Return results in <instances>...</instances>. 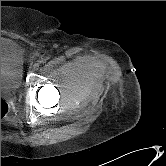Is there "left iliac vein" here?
Segmentation results:
<instances>
[{"instance_id": "4c4485c4", "label": "left iliac vein", "mask_w": 166, "mask_h": 166, "mask_svg": "<svg viewBox=\"0 0 166 166\" xmlns=\"http://www.w3.org/2000/svg\"><path fill=\"white\" fill-rule=\"evenodd\" d=\"M38 68H39V64L38 63L33 64V66H32L33 70H38Z\"/></svg>"}]
</instances>
